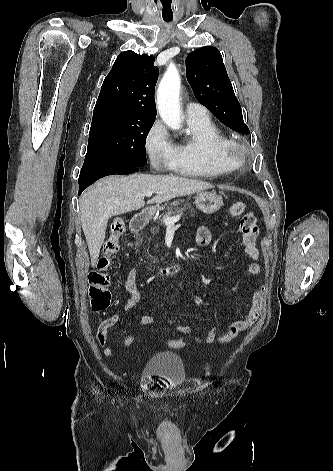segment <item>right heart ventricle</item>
<instances>
[{
	"instance_id": "right-heart-ventricle-1",
	"label": "right heart ventricle",
	"mask_w": 333,
	"mask_h": 471,
	"mask_svg": "<svg viewBox=\"0 0 333 471\" xmlns=\"http://www.w3.org/2000/svg\"><path fill=\"white\" fill-rule=\"evenodd\" d=\"M189 133L174 144L170 167L176 173L190 177H216L235 167L224 154L229 142L227 135L206 114L187 120Z\"/></svg>"
}]
</instances>
